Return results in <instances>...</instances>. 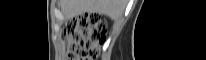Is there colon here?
Listing matches in <instances>:
<instances>
[{
	"label": "colon",
	"mask_w": 206,
	"mask_h": 60,
	"mask_svg": "<svg viewBox=\"0 0 206 60\" xmlns=\"http://www.w3.org/2000/svg\"><path fill=\"white\" fill-rule=\"evenodd\" d=\"M68 60H95L105 42L106 31L96 14H83L70 20L65 27Z\"/></svg>",
	"instance_id": "1"
}]
</instances>
